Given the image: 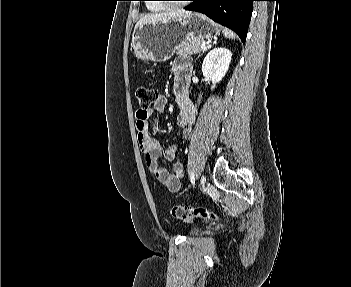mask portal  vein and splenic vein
<instances>
[{"label":"portal vein and splenic vein","instance_id":"1","mask_svg":"<svg viewBox=\"0 0 351 287\" xmlns=\"http://www.w3.org/2000/svg\"><path fill=\"white\" fill-rule=\"evenodd\" d=\"M202 49H206V44L205 42L201 44Z\"/></svg>","mask_w":351,"mask_h":287}]
</instances>
